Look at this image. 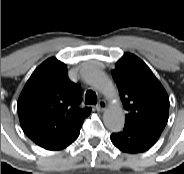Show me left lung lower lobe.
<instances>
[{
    "instance_id": "0a47b994",
    "label": "left lung lower lobe",
    "mask_w": 184,
    "mask_h": 174,
    "mask_svg": "<svg viewBox=\"0 0 184 174\" xmlns=\"http://www.w3.org/2000/svg\"><path fill=\"white\" fill-rule=\"evenodd\" d=\"M159 139V137L140 132L128 127L119 133L111 135L112 143L121 151L127 153H140L147 151Z\"/></svg>"
}]
</instances>
